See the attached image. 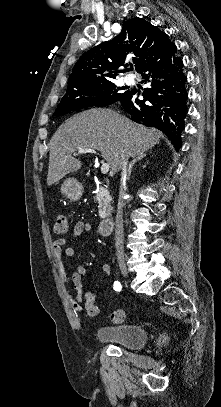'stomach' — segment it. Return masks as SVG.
Listing matches in <instances>:
<instances>
[{"mask_svg":"<svg viewBox=\"0 0 221 407\" xmlns=\"http://www.w3.org/2000/svg\"><path fill=\"white\" fill-rule=\"evenodd\" d=\"M61 192L70 201H77L83 195V186L75 178H67L61 186Z\"/></svg>","mask_w":221,"mask_h":407,"instance_id":"obj_1","label":"stomach"}]
</instances>
